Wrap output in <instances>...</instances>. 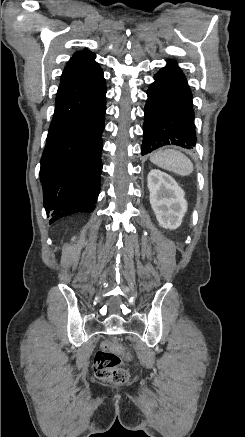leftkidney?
<instances>
[{
  "label": "left kidney",
  "instance_id": "5707ae66",
  "mask_svg": "<svg viewBox=\"0 0 245 437\" xmlns=\"http://www.w3.org/2000/svg\"><path fill=\"white\" fill-rule=\"evenodd\" d=\"M147 183L157 221L165 229H177L188 207L183 189L169 174L157 169L149 172Z\"/></svg>",
  "mask_w": 245,
  "mask_h": 437
}]
</instances>
